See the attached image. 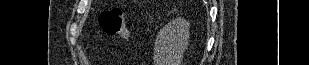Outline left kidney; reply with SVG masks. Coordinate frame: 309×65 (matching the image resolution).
<instances>
[{
    "label": "left kidney",
    "mask_w": 309,
    "mask_h": 65,
    "mask_svg": "<svg viewBox=\"0 0 309 65\" xmlns=\"http://www.w3.org/2000/svg\"><path fill=\"white\" fill-rule=\"evenodd\" d=\"M189 41V23L181 17L170 21L157 34L154 65H181Z\"/></svg>",
    "instance_id": "obj_1"
}]
</instances>
